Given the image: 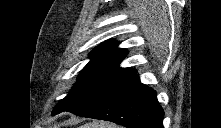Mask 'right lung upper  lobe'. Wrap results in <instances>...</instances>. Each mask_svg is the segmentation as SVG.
Returning a JSON list of instances; mask_svg holds the SVG:
<instances>
[{
  "label": "right lung upper lobe",
  "instance_id": "cb5924a9",
  "mask_svg": "<svg viewBox=\"0 0 221 128\" xmlns=\"http://www.w3.org/2000/svg\"><path fill=\"white\" fill-rule=\"evenodd\" d=\"M117 46V41L109 40L96 47L90 54V62L83 70L98 71L127 78L136 74V71L132 68L119 67L120 62L127 54V50L117 48Z\"/></svg>",
  "mask_w": 221,
  "mask_h": 128
}]
</instances>
